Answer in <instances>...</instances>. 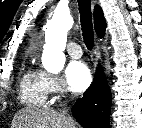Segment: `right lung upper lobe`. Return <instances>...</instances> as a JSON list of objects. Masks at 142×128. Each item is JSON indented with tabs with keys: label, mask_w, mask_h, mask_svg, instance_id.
<instances>
[{
	"label": "right lung upper lobe",
	"mask_w": 142,
	"mask_h": 128,
	"mask_svg": "<svg viewBox=\"0 0 142 128\" xmlns=\"http://www.w3.org/2000/svg\"><path fill=\"white\" fill-rule=\"evenodd\" d=\"M94 23L97 35L102 38L105 35L106 22L103 12L98 5L94 8Z\"/></svg>",
	"instance_id": "cb5924a9"
}]
</instances>
